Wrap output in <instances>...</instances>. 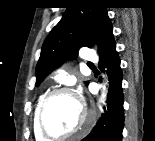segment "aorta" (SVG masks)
I'll use <instances>...</instances> for the list:
<instances>
[{
	"mask_svg": "<svg viewBox=\"0 0 155 141\" xmlns=\"http://www.w3.org/2000/svg\"><path fill=\"white\" fill-rule=\"evenodd\" d=\"M106 87L104 86L103 87V92H102V95H101V102L104 103V101L106 100Z\"/></svg>",
	"mask_w": 155,
	"mask_h": 141,
	"instance_id": "aorta-1",
	"label": "aorta"
}]
</instances>
